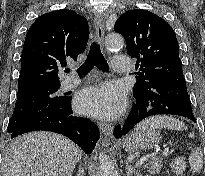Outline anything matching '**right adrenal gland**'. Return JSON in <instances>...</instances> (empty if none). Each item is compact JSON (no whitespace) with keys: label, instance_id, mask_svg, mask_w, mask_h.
Returning a JSON list of instances; mask_svg holds the SVG:
<instances>
[{"label":"right adrenal gland","instance_id":"1","mask_svg":"<svg viewBox=\"0 0 205 176\" xmlns=\"http://www.w3.org/2000/svg\"><path fill=\"white\" fill-rule=\"evenodd\" d=\"M76 176H84V168L81 163L78 166V171L76 173Z\"/></svg>","mask_w":205,"mask_h":176}]
</instances>
